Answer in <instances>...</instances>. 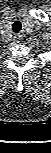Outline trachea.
<instances>
[{"instance_id": "trachea-1", "label": "trachea", "mask_w": 51, "mask_h": 153, "mask_svg": "<svg viewBox=\"0 0 51 153\" xmlns=\"http://www.w3.org/2000/svg\"><path fill=\"white\" fill-rule=\"evenodd\" d=\"M12 29H13L14 32H19L21 30V23L19 21H16L12 25Z\"/></svg>"}]
</instances>
